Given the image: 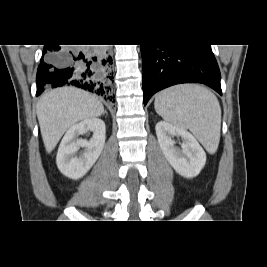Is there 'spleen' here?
<instances>
[{
    "label": "spleen",
    "instance_id": "3e777b00",
    "mask_svg": "<svg viewBox=\"0 0 267 267\" xmlns=\"http://www.w3.org/2000/svg\"><path fill=\"white\" fill-rule=\"evenodd\" d=\"M154 107L165 121L189 129L210 154L217 151L221 108L210 90L197 84L176 85L159 92Z\"/></svg>",
    "mask_w": 267,
    "mask_h": 267
}]
</instances>
